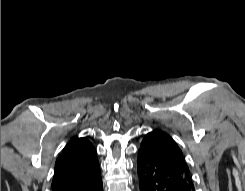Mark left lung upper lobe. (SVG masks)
<instances>
[{
	"instance_id": "obj_1",
	"label": "left lung upper lobe",
	"mask_w": 245,
	"mask_h": 191,
	"mask_svg": "<svg viewBox=\"0 0 245 191\" xmlns=\"http://www.w3.org/2000/svg\"><path fill=\"white\" fill-rule=\"evenodd\" d=\"M140 150L155 159L183 170L191 176L181 149L167 133L161 130L148 133L140 145Z\"/></svg>"
}]
</instances>
